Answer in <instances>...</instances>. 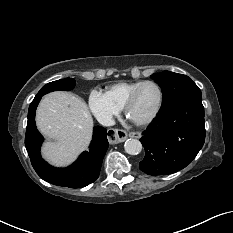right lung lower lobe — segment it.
I'll list each match as a JSON object with an SVG mask.
<instances>
[{"label": "right lung lower lobe", "instance_id": "right-lung-lower-lobe-1", "mask_svg": "<svg viewBox=\"0 0 233 233\" xmlns=\"http://www.w3.org/2000/svg\"><path fill=\"white\" fill-rule=\"evenodd\" d=\"M43 95H36L28 110L25 146L36 173L45 181L54 185L79 188L94 182L100 173L103 157L109 143L106 129L96 126L89 151L83 152L75 163L67 168H54L40 155L43 136L35 124V111Z\"/></svg>", "mask_w": 233, "mask_h": 233}]
</instances>
